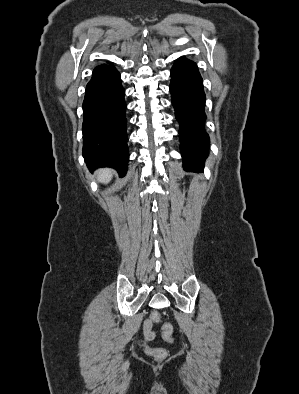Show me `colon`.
<instances>
[{
	"instance_id": "5ec220e1",
	"label": "colon",
	"mask_w": 299,
	"mask_h": 394,
	"mask_svg": "<svg viewBox=\"0 0 299 394\" xmlns=\"http://www.w3.org/2000/svg\"><path fill=\"white\" fill-rule=\"evenodd\" d=\"M151 318L155 322H159L161 319V315L158 311H154L151 314ZM162 336L165 341L172 343L173 342V329L172 326L168 323H165L161 326ZM145 352L151 356L156 361H163L167 357V351L164 348L146 346Z\"/></svg>"
}]
</instances>
